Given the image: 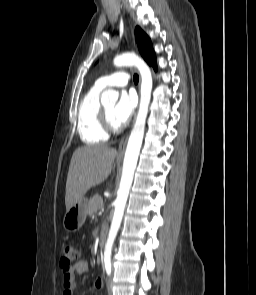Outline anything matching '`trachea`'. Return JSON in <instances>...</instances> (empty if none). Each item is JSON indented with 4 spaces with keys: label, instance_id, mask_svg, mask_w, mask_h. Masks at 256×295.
<instances>
[{
    "label": "trachea",
    "instance_id": "1",
    "mask_svg": "<svg viewBox=\"0 0 256 295\" xmlns=\"http://www.w3.org/2000/svg\"><path fill=\"white\" fill-rule=\"evenodd\" d=\"M133 79H134V82L137 84L139 81V76L135 74Z\"/></svg>",
    "mask_w": 256,
    "mask_h": 295
}]
</instances>
